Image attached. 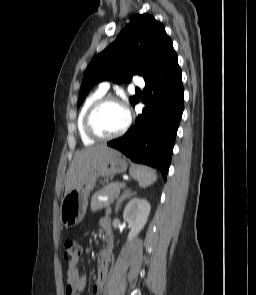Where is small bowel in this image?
I'll list each match as a JSON object with an SVG mask.
<instances>
[{
  "label": "small bowel",
  "instance_id": "c3829d8e",
  "mask_svg": "<svg viewBox=\"0 0 256 295\" xmlns=\"http://www.w3.org/2000/svg\"><path fill=\"white\" fill-rule=\"evenodd\" d=\"M100 226L109 237V240L98 256L97 278L92 286L93 295H102L103 293L107 282L109 263L113 250V242L110 238L111 226L109 219L107 217L101 219ZM66 275V295H80L86 288V277L79 272L78 258L68 263Z\"/></svg>",
  "mask_w": 256,
  "mask_h": 295
}]
</instances>
